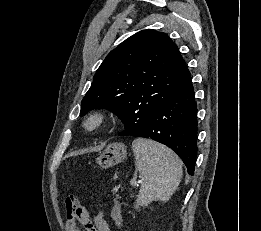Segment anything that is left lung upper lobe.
<instances>
[{"label": "left lung upper lobe", "mask_w": 261, "mask_h": 231, "mask_svg": "<svg viewBox=\"0 0 261 231\" xmlns=\"http://www.w3.org/2000/svg\"><path fill=\"white\" fill-rule=\"evenodd\" d=\"M190 79L167 34L143 30L107 55L82 100L80 115L106 108L120 117L125 129L142 127Z\"/></svg>", "instance_id": "1"}]
</instances>
